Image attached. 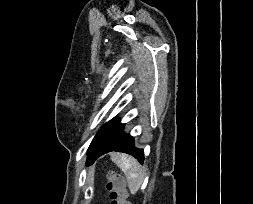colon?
<instances>
[{"mask_svg":"<svg viewBox=\"0 0 253 204\" xmlns=\"http://www.w3.org/2000/svg\"><path fill=\"white\" fill-rule=\"evenodd\" d=\"M106 178V190L109 195L110 204H131L128 200V192L123 178L113 172H109Z\"/></svg>","mask_w":253,"mask_h":204,"instance_id":"obj_1","label":"colon"}]
</instances>
